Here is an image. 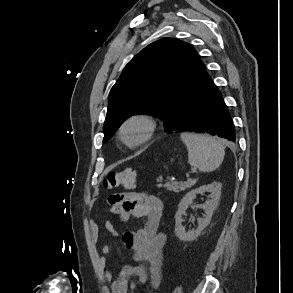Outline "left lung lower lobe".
<instances>
[{
    "instance_id": "1",
    "label": "left lung lower lobe",
    "mask_w": 293,
    "mask_h": 293,
    "mask_svg": "<svg viewBox=\"0 0 293 293\" xmlns=\"http://www.w3.org/2000/svg\"><path fill=\"white\" fill-rule=\"evenodd\" d=\"M173 131L206 132L235 142L236 136L231 116L220 91L212 80L187 104Z\"/></svg>"
}]
</instances>
